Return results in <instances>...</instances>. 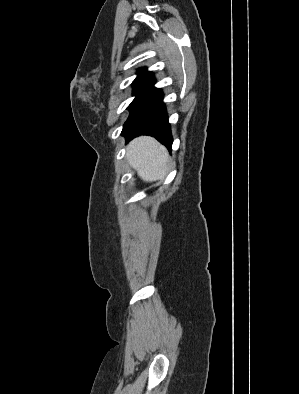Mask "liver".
Here are the masks:
<instances>
[{
  "instance_id": "liver-1",
  "label": "liver",
  "mask_w": 299,
  "mask_h": 394,
  "mask_svg": "<svg viewBox=\"0 0 299 394\" xmlns=\"http://www.w3.org/2000/svg\"><path fill=\"white\" fill-rule=\"evenodd\" d=\"M126 157L145 182L161 180L168 172L169 154L166 148L152 137L141 136L131 141Z\"/></svg>"
}]
</instances>
